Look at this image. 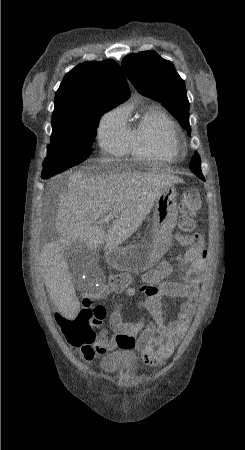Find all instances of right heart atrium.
<instances>
[{"label":"right heart atrium","instance_id":"obj_1","mask_svg":"<svg viewBox=\"0 0 245 450\" xmlns=\"http://www.w3.org/2000/svg\"><path fill=\"white\" fill-rule=\"evenodd\" d=\"M124 111L116 108L101 118L97 138L105 152L114 156H122L127 152V130Z\"/></svg>","mask_w":245,"mask_h":450}]
</instances>
